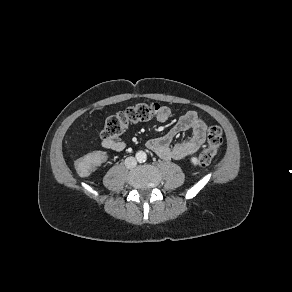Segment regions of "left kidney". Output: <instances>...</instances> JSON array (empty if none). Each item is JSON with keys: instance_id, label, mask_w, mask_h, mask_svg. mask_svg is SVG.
<instances>
[{"instance_id": "5707ae66", "label": "left kidney", "mask_w": 292, "mask_h": 292, "mask_svg": "<svg viewBox=\"0 0 292 292\" xmlns=\"http://www.w3.org/2000/svg\"><path fill=\"white\" fill-rule=\"evenodd\" d=\"M191 163L194 164V165H197L198 164V159L196 157H192L191 158Z\"/></svg>"}]
</instances>
